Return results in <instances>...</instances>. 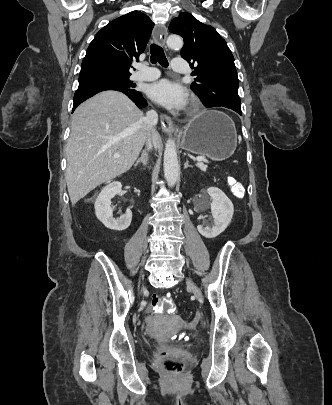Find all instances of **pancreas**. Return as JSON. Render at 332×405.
Instances as JSON below:
<instances>
[{
  "label": "pancreas",
  "instance_id": "1",
  "mask_svg": "<svg viewBox=\"0 0 332 405\" xmlns=\"http://www.w3.org/2000/svg\"><path fill=\"white\" fill-rule=\"evenodd\" d=\"M203 165L205 166V169L203 167H199V166H197V167L200 168V170L205 171L207 168V165H205V164H203Z\"/></svg>",
  "mask_w": 332,
  "mask_h": 405
}]
</instances>
